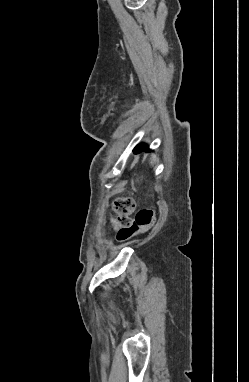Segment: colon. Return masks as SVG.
<instances>
[{
    "instance_id": "5ec220e1",
    "label": "colon",
    "mask_w": 249,
    "mask_h": 382,
    "mask_svg": "<svg viewBox=\"0 0 249 382\" xmlns=\"http://www.w3.org/2000/svg\"><path fill=\"white\" fill-rule=\"evenodd\" d=\"M135 208L134 200L128 196H120L113 202L111 225L116 231L118 243H125L134 235L149 229L155 218V212L150 208H143L135 217L131 214Z\"/></svg>"
}]
</instances>
